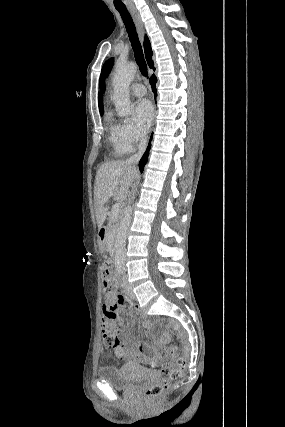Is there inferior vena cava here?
Listing matches in <instances>:
<instances>
[{
    "label": "inferior vena cava",
    "instance_id": "obj_1",
    "mask_svg": "<svg viewBox=\"0 0 285 427\" xmlns=\"http://www.w3.org/2000/svg\"><path fill=\"white\" fill-rule=\"evenodd\" d=\"M146 144H147V137L146 136H141L140 138V142H139V150L138 153H136L135 155L131 156L126 163L129 165H132L135 169H136V165L138 164L139 160L141 159L145 149H146Z\"/></svg>",
    "mask_w": 285,
    "mask_h": 427
}]
</instances>
